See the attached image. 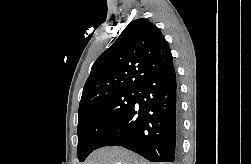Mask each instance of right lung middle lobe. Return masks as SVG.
Here are the masks:
<instances>
[{"label":"right lung middle lobe","instance_id":"obj_1","mask_svg":"<svg viewBox=\"0 0 251 164\" xmlns=\"http://www.w3.org/2000/svg\"><path fill=\"white\" fill-rule=\"evenodd\" d=\"M137 90H122L99 96L79 108L78 157L84 162L103 137L133 106Z\"/></svg>","mask_w":251,"mask_h":164}]
</instances>
